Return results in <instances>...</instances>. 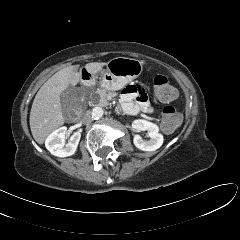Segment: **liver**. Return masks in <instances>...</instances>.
I'll list each match as a JSON object with an SVG mask.
<instances>
[{
    "mask_svg": "<svg viewBox=\"0 0 240 240\" xmlns=\"http://www.w3.org/2000/svg\"><path fill=\"white\" fill-rule=\"evenodd\" d=\"M106 64L88 63L85 70L94 75ZM78 68L79 65H73L59 70L37 92L30 112V129L38 144H43L52 131L64 124L60 96L70 85L75 86L79 83L81 73L78 72Z\"/></svg>",
    "mask_w": 240,
    "mask_h": 240,
    "instance_id": "obj_1",
    "label": "liver"
}]
</instances>
